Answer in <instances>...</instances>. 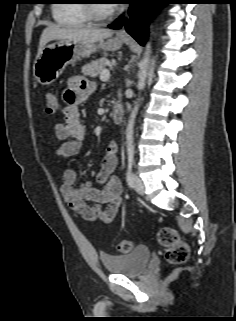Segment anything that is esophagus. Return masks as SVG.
<instances>
[{
  "instance_id": "1",
  "label": "esophagus",
  "mask_w": 236,
  "mask_h": 321,
  "mask_svg": "<svg viewBox=\"0 0 236 321\" xmlns=\"http://www.w3.org/2000/svg\"><path fill=\"white\" fill-rule=\"evenodd\" d=\"M117 37L118 38H126L127 37V33L124 28L117 34Z\"/></svg>"
}]
</instances>
